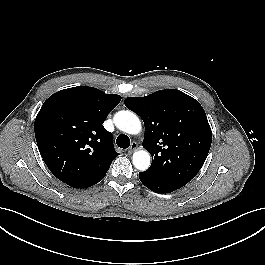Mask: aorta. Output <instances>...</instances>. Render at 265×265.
I'll use <instances>...</instances> for the list:
<instances>
[{"instance_id": "obj_1", "label": "aorta", "mask_w": 265, "mask_h": 265, "mask_svg": "<svg viewBox=\"0 0 265 265\" xmlns=\"http://www.w3.org/2000/svg\"><path fill=\"white\" fill-rule=\"evenodd\" d=\"M114 123L118 129L128 134H138L141 131V122L131 111H119L114 116ZM133 165L140 171L150 166V154L146 150H139L133 154Z\"/></svg>"}]
</instances>
